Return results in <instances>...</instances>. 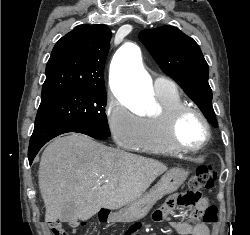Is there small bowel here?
<instances>
[{"mask_svg":"<svg viewBox=\"0 0 250 235\" xmlns=\"http://www.w3.org/2000/svg\"><path fill=\"white\" fill-rule=\"evenodd\" d=\"M208 204L209 203L206 198H201L196 205L189 209L192 213V218L194 220H198V214L204 212L208 207ZM176 205L180 207L185 206L184 203L176 201L175 198H171L162 208L155 212L153 215V220L158 222L165 220L167 215L175 208ZM171 224L176 232L180 235H211L210 226L199 221H195L194 223L173 221ZM127 235H134V233L130 232Z\"/></svg>","mask_w":250,"mask_h":235,"instance_id":"c3829d8e","label":"small bowel"}]
</instances>
